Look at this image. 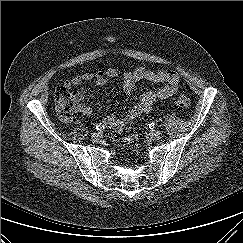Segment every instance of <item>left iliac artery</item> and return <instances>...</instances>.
Returning a JSON list of instances; mask_svg holds the SVG:
<instances>
[{"label":"left iliac artery","mask_w":243,"mask_h":243,"mask_svg":"<svg viewBox=\"0 0 243 243\" xmlns=\"http://www.w3.org/2000/svg\"><path fill=\"white\" fill-rule=\"evenodd\" d=\"M155 127H156V124L155 123L152 122V123L149 124V128L150 129H154Z\"/></svg>","instance_id":"obj_1"}]
</instances>
